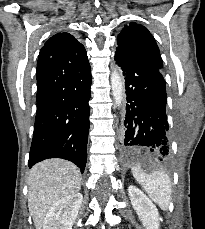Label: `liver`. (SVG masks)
Instances as JSON below:
<instances>
[{"label":"liver","instance_id":"6515ba94","mask_svg":"<svg viewBox=\"0 0 205 229\" xmlns=\"http://www.w3.org/2000/svg\"><path fill=\"white\" fill-rule=\"evenodd\" d=\"M28 187L29 212L36 229H41L51 206L80 190L81 173L69 161L58 158L44 160L30 170Z\"/></svg>","mask_w":205,"mask_h":229}]
</instances>
